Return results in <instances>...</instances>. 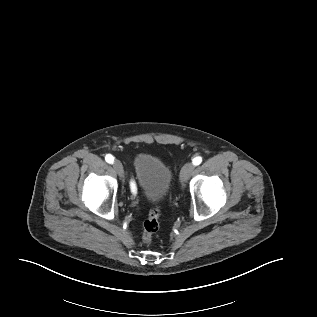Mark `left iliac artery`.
Here are the masks:
<instances>
[{
    "label": "left iliac artery",
    "mask_w": 317,
    "mask_h": 317,
    "mask_svg": "<svg viewBox=\"0 0 317 317\" xmlns=\"http://www.w3.org/2000/svg\"><path fill=\"white\" fill-rule=\"evenodd\" d=\"M202 162V157L197 156L193 159V164L194 165H199Z\"/></svg>",
    "instance_id": "left-iliac-artery-1"
}]
</instances>
